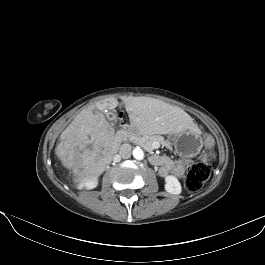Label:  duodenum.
Masks as SVG:
<instances>
[{"instance_id": "obj_1", "label": "duodenum", "mask_w": 265, "mask_h": 265, "mask_svg": "<svg viewBox=\"0 0 265 265\" xmlns=\"http://www.w3.org/2000/svg\"><path fill=\"white\" fill-rule=\"evenodd\" d=\"M118 138H124L126 136V131L124 129L120 130L117 134ZM150 160L153 164L159 165L160 164V159L158 156L154 155L150 157Z\"/></svg>"}]
</instances>
